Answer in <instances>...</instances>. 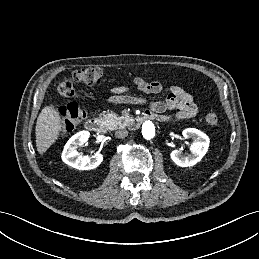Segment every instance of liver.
<instances>
[{
  "label": "liver",
  "mask_w": 259,
  "mask_h": 259,
  "mask_svg": "<svg viewBox=\"0 0 259 259\" xmlns=\"http://www.w3.org/2000/svg\"><path fill=\"white\" fill-rule=\"evenodd\" d=\"M62 130V119L53 105L45 106L40 112L36 122V147L43 155L58 139Z\"/></svg>",
  "instance_id": "liver-1"
}]
</instances>
